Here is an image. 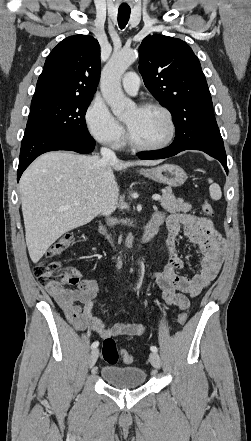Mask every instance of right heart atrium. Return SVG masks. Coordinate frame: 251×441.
<instances>
[{
    "label": "right heart atrium",
    "mask_w": 251,
    "mask_h": 441,
    "mask_svg": "<svg viewBox=\"0 0 251 441\" xmlns=\"http://www.w3.org/2000/svg\"><path fill=\"white\" fill-rule=\"evenodd\" d=\"M85 122L90 135L97 141L112 146L120 144L124 129L101 98L95 97L90 102Z\"/></svg>",
    "instance_id": "d8ad5b80"
}]
</instances>
